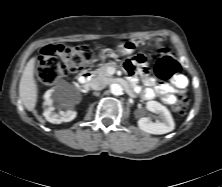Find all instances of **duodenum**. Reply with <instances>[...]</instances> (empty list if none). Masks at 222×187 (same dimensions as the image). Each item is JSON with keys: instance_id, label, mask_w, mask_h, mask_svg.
I'll list each match as a JSON object with an SVG mask.
<instances>
[{"instance_id": "duodenum-1", "label": "duodenum", "mask_w": 222, "mask_h": 187, "mask_svg": "<svg viewBox=\"0 0 222 187\" xmlns=\"http://www.w3.org/2000/svg\"><path fill=\"white\" fill-rule=\"evenodd\" d=\"M91 77H92V72L84 71L79 75L78 81L80 82L82 87H87L88 82L90 81Z\"/></svg>"}]
</instances>
